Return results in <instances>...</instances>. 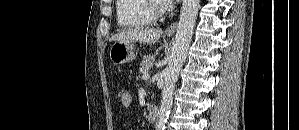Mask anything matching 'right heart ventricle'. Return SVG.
<instances>
[{"label": "right heart ventricle", "mask_w": 299, "mask_h": 130, "mask_svg": "<svg viewBox=\"0 0 299 130\" xmlns=\"http://www.w3.org/2000/svg\"><path fill=\"white\" fill-rule=\"evenodd\" d=\"M147 0H117V22L122 28H142L152 25L155 17L149 12Z\"/></svg>", "instance_id": "obj_1"}]
</instances>
